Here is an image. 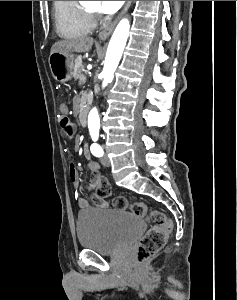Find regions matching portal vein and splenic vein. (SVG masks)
Instances as JSON below:
<instances>
[{"label":"portal vein and splenic vein","mask_w":237,"mask_h":300,"mask_svg":"<svg viewBox=\"0 0 237 300\" xmlns=\"http://www.w3.org/2000/svg\"><path fill=\"white\" fill-rule=\"evenodd\" d=\"M84 76V73H81V76L78 78L80 81H85V77H82Z\"/></svg>","instance_id":"18ae733b"}]
</instances>
